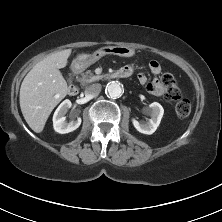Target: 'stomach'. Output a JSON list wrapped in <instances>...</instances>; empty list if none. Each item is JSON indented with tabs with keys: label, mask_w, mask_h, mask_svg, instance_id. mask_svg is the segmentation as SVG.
Returning a JSON list of instances; mask_svg holds the SVG:
<instances>
[{
	"label": "stomach",
	"mask_w": 222,
	"mask_h": 222,
	"mask_svg": "<svg viewBox=\"0 0 222 222\" xmlns=\"http://www.w3.org/2000/svg\"><path fill=\"white\" fill-rule=\"evenodd\" d=\"M135 53L134 49L127 46H112V47H104L100 49L99 54L90 56L87 58L77 57L72 61L71 67L73 70L81 71L89 67L93 64L99 57L104 56L106 54H114L121 57H131Z\"/></svg>",
	"instance_id": "obj_1"
}]
</instances>
